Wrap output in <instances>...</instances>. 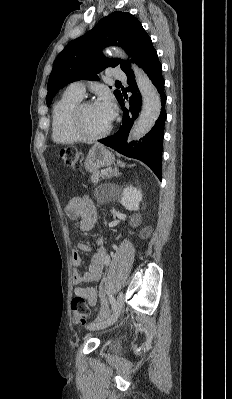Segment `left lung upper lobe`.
I'll list each match as a JSON object with an SVG mask.
<instances>
[{
    "label": "left lung upper lobe",
    "mask_w": 232,
    "mask_h": 399,
    "mask_svg": "<svg viewBox=\"0 0 232 399\" xmlns=\"http://www.w3.org/2000/svg\"><path fill=\"white\" fill-rule=\"evenodd\" d=\"M151 41L141 23L130 13L114 12L101 19L93 29L70 43L60 52L49 76L47 106L55 94L67 84L80 80H96L97 74L106 67L120 65L126 73L129 62L117 58L107 59L100 52L101 47L116 45L126 50L135 61L139 51ZM117 100L122 96L114 91Z\"/></svg>",
    "instance_id": "1"
}]
</instances>
